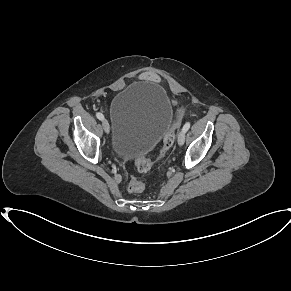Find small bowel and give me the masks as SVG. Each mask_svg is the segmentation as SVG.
I'll return each instance as SVG.
<instances>
[{"label": "small bowel", "mask_w": 291, "mask_h": 291, "mask_svg": "<svg viewBox=\"0 0 291 291\" xmlns=\"http://www.w3.org/2000/svg\"><path fill=\"white\" fill-rule=\"evenodd\" d=\"M139 78L146 81L154 82V83L160 82V77L156 73L151 72V71H146V72L141 73L139 75Z\"/></svg>", "instance_id": "c3829d8e"}]
</instances>
